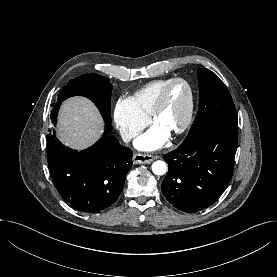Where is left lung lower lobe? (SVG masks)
<instances>
[{
	"label": "left lung lower lobe",
	"mask_w": 277,
	"mask_h": 277,
	"mask_svg": "<svg viewBox=\"0 0 277 277\" xmlns=\"http://www.w3.org/2000/svg\"><path fill=\"white\" fill-rule=\"evenodd\" d=\"M236 150L237 130L215 128L165 154L169 171L161 190L166 199L187 213L211 205L231 180Z\"/></svg>",
	"instance_id": "left-lung-lower-lobe-1"
}]
</instances>
